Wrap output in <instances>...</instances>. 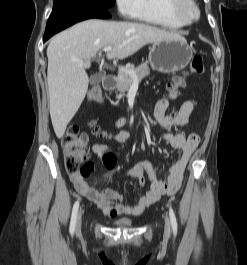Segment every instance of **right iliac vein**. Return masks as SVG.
I'll return each mask as SVG.
<instances>
[{"label": "right iliac vein", "instance_id": "1", "mask_svg": "<svg viewBox=\"0 0 247 265\" xmlns=\"http://www.w3.org/2000/svg\"><path fill=\"white\" fill-rule=\"evenodd\" d=\"M81 218H82V211L80 210L77 215V225H76L77 233H79L81 229Z\"/></svg>", "mask_w": 247, "mask_h": 265}]
</instances>
